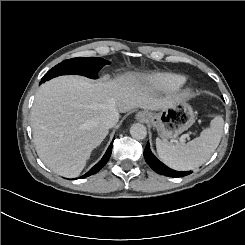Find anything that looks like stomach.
I'll return each mask as SVG.
<instances>
[{"mask_svg": "<svg viewBox=\"0 0 245 245\" xmlns=\"http://www.w3.org/2000/svg\"><path fill=\"white\" fill-rule=\"evenodd\" d=\"M153 119L149 123L158 131L166 141L175 138L189 129L196 119L194 108L186 101L172 102L159 112H152Z\"/></svg>", "mask_w": 245, "mask_h": 245, "instance_id": "obj_1", "label": "stomach"}]
</instances>
